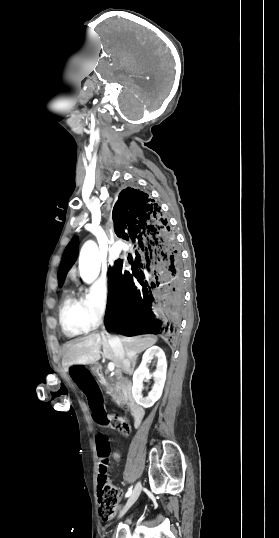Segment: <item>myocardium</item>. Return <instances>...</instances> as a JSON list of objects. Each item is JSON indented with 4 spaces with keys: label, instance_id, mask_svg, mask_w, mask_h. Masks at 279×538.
I'll use <instances>...</instances> for the list:
<instances>
[{
    "label": "myocardium",
    "instance_id": "1",
    "mask_svg": "<svg viewBox=\"0 0 279 538\" xmlns=\"http://www.w3.org/2000/svg\"><path fill=\"white\" fill-rule=\"evenodd\" d=\"M68 208H71V207H68ZM99 220H100V217L98 216V218L94 220L92 224H85V228L89 226H92V227L97 226V224L99 223ZM134 237H135V234L131 232L129 236H126V240L132 242L134 240Z\"/></svg>",
    "mask_w": 279,
    "mask_h": 538
}]
</instances>
